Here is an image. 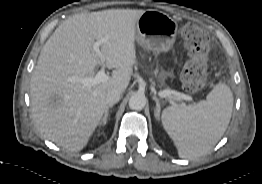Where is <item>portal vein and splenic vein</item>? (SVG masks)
<instances>
[{
	"label": "portal vein and splenic vein",
	"instance_id": "1",
	"mask_svg": "<svg viewBox=\"0 0 262 184\" xmlns=\"http://www.w3.org/2000/svg\"><path fill=\"white\" fill-rule=\"evenodd\" d=\"M106 41V39H102L99 41H96L93 44V52L100 58V61L102 63V68L97 72V74L95 75V77H86L83 79H80V81L87 86L88 88H91L101 82H105L108 78V76L105 73V57L103 56L101 50H100V46ZM77 79L73 78V81H75ZM158 95L162 98H166V97H170L171 95L174 96V98L176 100H186V101H192L193 98L191 96H188L186 94L183 93H179V92H175V91H171V90H166V91H162L159 92Z\"/></svg>",
	"mask_w": 262,
	"mask_h": 184
}]
</instances>
